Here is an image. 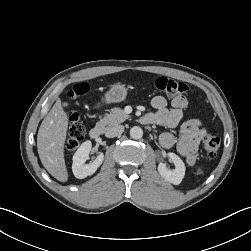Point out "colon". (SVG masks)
Here are the masks:
<instances>
[{"label": "colon", "instance_id": "5ec220e1", "mask_svg": "<svg viewBox=\"0 0 251 251\" xmlns=\"http://www.w3.org/2000/svg\"><path fill=\"white\" fill-rule=\"evenodd\" d=\"M154 87L159 92L168 96H180L189 91V86L181 81H177L168 77H158L154 80ZM88 91L86 84L75 85L68 93L71 98H76ZM85 135V128L76 114L70 118V124L67 132L66 149L67 151L75 150ZM203 149L209 158H214L220 147V140L212 134H205L202 140Z\"/></svg>", "mask_w": 251, "mask_h": 251}]
</instances>
